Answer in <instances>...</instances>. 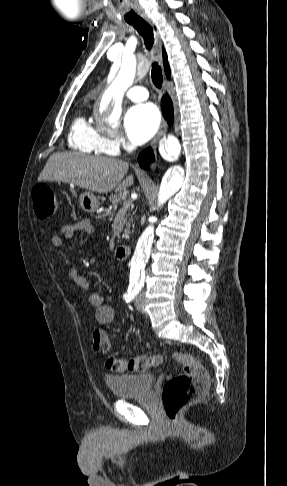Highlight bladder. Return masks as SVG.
<instances>
[{
    "label": "bladder",
    "instance_id": "obj_1",
    "mask_svg": "<svg viewBox=\"0 0 287 486\" xmlns=\"http://www.w3.org/2000/svg\"><path fill=\"white\" fill-rule=\"evenodd\" d=\"M155 381L151 373L110 375L105 382L112 394L118 399L144 396L150 392Z\"/></svg>",
    "mask_w": 287,
    "mask_h": 486
}]
</instances>
